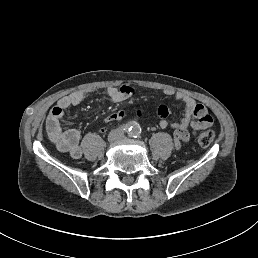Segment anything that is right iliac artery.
<instances>
[{"instance_id":"1","label":"right iliac artery","mask_w":258,"mask_h":258,"mask_svg":"<svg viewBox=\"0 0 258 258\" xmlns=\"http://www.w3.org/2000/svg\"><path fill=\"white\" fill-rule=\"evenodd\" d=\"M132 125H133V122H128V123H126V124H123V125L118 126V128H119L120 130L130 131L131 128H132Z\"/></svg>"}]
</instances>
